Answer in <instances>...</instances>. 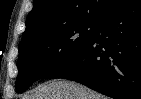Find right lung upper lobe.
I'll return each mask as SVG.
<instances>
[{
    "mask_svg": "<svg viewBox=\"0 0 141 99\" xmlns=\"http://www.w3.org/2000/svg\"><path fill=\"white\" fill-rule=\"evenodd\" d=\"M120 0H33L20 43L74 23L97 21Z\"/></svg>",
    "mask_w": 141,
    "mask_h": 99,
    "instance_id": "right-lung-upper-lobe-1",
    "label": "right lung upper lobe"
}]
</instances>
